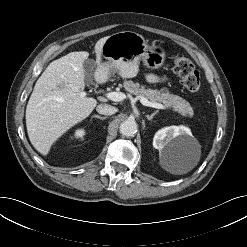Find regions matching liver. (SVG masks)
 I'll return each mask as SVG.
<instances>
[{"label": "liver", "instance_id": "6515ba94", "mask_svg": "<svg viewBox=\"0 0 247 247\" xmlns=\"http://www.w3.org/2000/svg\"><path fill=\"white\" fill-rule=\"evenodd\" d=\"M108 37L95 44L97 68ZM86 51L71 52L52 61L38 78L26 107V127L33 147L47 155L53 143L71 127L87 118L97 105L77 91L85 87ZM101 78V76H99Z\"/></svg>", "mask_w": 247, "mask_h": 247}]
</instances>
